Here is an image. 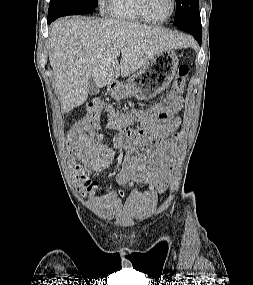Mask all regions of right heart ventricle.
I'll return each mask as SVG.
<instances>
[{
	"label": "right heart ventricle",
	"instance_id": "right-heart-ventricle-1",
	"mask_svg": "<svg viewBox=\"0 0 253 285\" xmlns=\"http://www.w3.org/2000/svg\"><path fill=\"white\" fill-rule=\"evenodd\" d=\"M106 12L113 18L136 23L150 20L142 13L139 0H105Z\"/></svg>",
	"mask_w": 253,
	"mask_h": 285
}]
</instances>
